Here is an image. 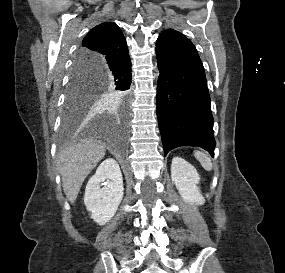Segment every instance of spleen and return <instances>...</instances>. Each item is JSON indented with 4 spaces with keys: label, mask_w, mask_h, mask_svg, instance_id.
Wrapping results in <instances>:
<instances>
[{
    "label": "spleen",
    "mask_w": 285,
    "mask_h": 273,
    "mask_svg": "<svg viewBox=\"0 0 285 273\" xmlns=\"http://www.w3.org/2000/svg\"><path fill=\"white\" fill-rule=\"evenodd\" d=\"M194 156L200 162V164L202 165V167L205 170H207V171L212 170L211 159L206 154H204L203 152H200V151H194Z\"/></svg>",
    "instance_id": "1"
}]
</instances>
